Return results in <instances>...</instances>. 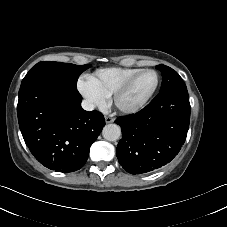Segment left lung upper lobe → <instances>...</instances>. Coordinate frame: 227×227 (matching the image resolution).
Segmentation results:
<instances>
[{
    "label": "left lung upper lobe",
    "instance_id": "5c2ea615",
    "mask_svg": "<svg viewBox=\"0 0 227 227\" xmlns=\"http://www.w3.org/2000/svg\"><path fill=\"white\" fill-rule=\"evenodd\" d=\"M156 68L161 71L163 77L160 92L174 88H186L184 81L175 70L166 65H157Z\"/></svg>",
    "mask_w": 227,
    "mask_h": 227
}]
</instances>
